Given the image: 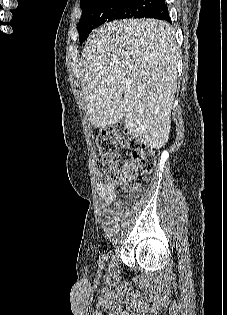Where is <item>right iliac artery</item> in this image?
I'll return each mask as SVG.
<instances>
[{"mask_svg":"<svg viewBox=\"0 0 227 315\" xmlns=\"http://www.w3.org/2000/svg\"><path fill=\"white\" fill-rule=\"evenodd\" d=\"M119 231V225L116 224L114 227H113V232L114 233H117Z\"/></svg>","mask_w":227,"mask_h":315,"instance_id":"obj_1","label":"right iliac artery"}]
</instances>
